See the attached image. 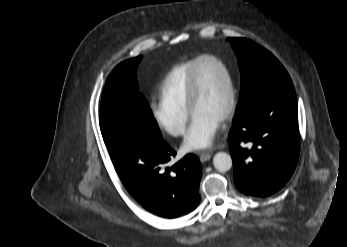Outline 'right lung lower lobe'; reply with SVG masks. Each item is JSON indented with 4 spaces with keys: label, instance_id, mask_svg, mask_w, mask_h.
I'll list each match as a JSON object with an SVG mask.
<instances>
[{
    "label": "right lung lower lobe",
    "instance_id": "98d812e1",
    "mask_svg": "<svg viewBox=\"0 0 347 247\" xmlns=\"http://www.w3.org/2000/svg\"><path fill=\"white\" fill-rule=\"evenodd\" d=\"M104 141L123 185L145 209L171 219L197 207L201 168L193 154L169 167L176 152L132 124L115 128Z\"/></svg>",
    "mask_w": 347,
    "mask_h": 247
}]
</instances>
